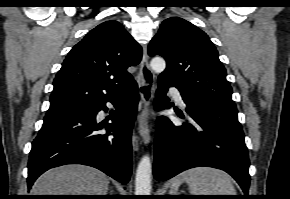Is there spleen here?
<instances>
[{
	"mask_svg": "<svg viewBox=\"0 0 290 199\" xmlns=\"http://www.w3.org/2000/svg\"><path fill=\"white\" fill-rule=\"evenodd\" d=\"M182 182L189 185L191 195H236L228 174L209 167H197L174 179L171 192L176 193Z\"/></svg>",
	"mask_w": 290,
	"mask_h": 199,
	"instance_id": "1",
	"label": "spleen"
}]
</instances>
